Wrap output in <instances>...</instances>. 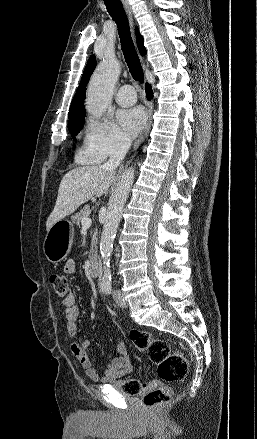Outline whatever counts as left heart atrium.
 I'll use <instances>...</instances> for the list:
<instances>
[{"instance_id": "1", "label": "left heart atrium", "mask_w": 257, "mask_h": 439, "mask_svg": "<svg viewBox=\"0 0 257 439\" xmlns=\"http://www.w3.org/2000/svg\"><path fill=\"white\" fill-rule=\"evenodd\" d=\"M117 119L129 136H134L141 131L146 122V113L141 107L122 109L117 113Z\"/></svg>"}]
</instances>
